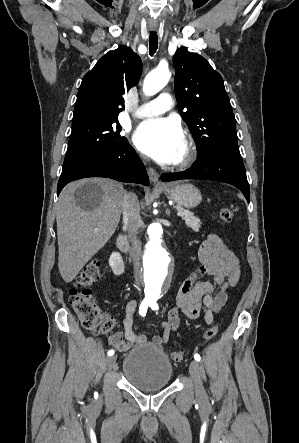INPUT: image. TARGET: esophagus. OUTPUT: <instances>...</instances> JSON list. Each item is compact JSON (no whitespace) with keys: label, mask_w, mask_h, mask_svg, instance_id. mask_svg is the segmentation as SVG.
<instances>
[{"label":"esophagus","mask_w":299,"mask_h":443,"mask_svg":"<svg viewBox=\"0 0 299 443\" xmlns=\"http://www.w3.org/2000/svg\"><path fill=\"white\" fill-rule=\"evenodd\" d=\"M153 29L154 28H152V30ZM148 174H149V178H150L151 182L155 186H158V187L163 186V184L159 180V174L153 168H148Z\"/></svg>","instance_id":"esophagus-1"}]
</instances>
